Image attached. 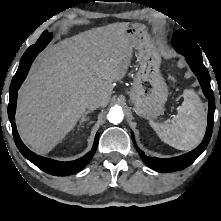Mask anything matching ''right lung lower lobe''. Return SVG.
I'll return each mask as SVG.
<instances>
[{
  "label": "right lung lower lobe",
  "mask_w": 221,
  "mask_h": 221,
  "mask_svg": "<svg viewBox=\"0 0 221 221\" xmlns=\"http://www.w3.org/2000/svg\"><path fill=\"white\" fill-rule=\"evenodd\" d=\"M43 44L41 47L34 49L32 46H30L24 55L21 58L20 65L18 67V70L16 74L14 75L10 90H9V105H8V116L9 120L11 122L12 131H13V137L16 143L17 148L21 152V154L27 158L29 161H31L33 164H35L38 168L43 170L44 172L56 175V176H66L71 175L74 173L79 172L81 169H83L92 159L93 155L95 154V151L97 149L98 145V137L99 133L96 134L95 140H94V146L91 151H89L85 156L69 162H60L53 159L41 157L39 155H36L35 153L31 152L21 141L16 125L14 123L15 118V110H16V103H17V91L19 87L21 86L22 82L26 78V75L29 71V68L31 66V63L33 62L36 55L44 49Z\"/></svg>",
  "instance_id": "1"
}]
</instances>
